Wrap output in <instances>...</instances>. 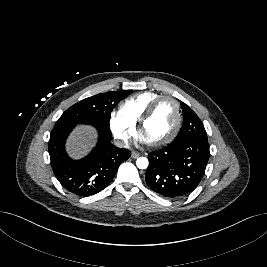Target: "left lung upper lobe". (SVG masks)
Instances as JSON below:
<instances>
[{"label":"left lung upper lobe","mask_w":267,"mask_h":267,"mask_svg":"<svg viewBox=\"0 0 267 267\" xmlns=\"http://www.w3.org/2000/svg\"><path fill=\"white\" fill-rule=\"evenodd\" d=\"M181 106L183 112V124L173 142H178L191 138L208 140L205 128L199 117L185 103H181Z\"/></svg>","instance_id":"obj_1"}]
</instances>
